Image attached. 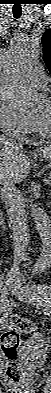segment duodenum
Wrapping results in <instances>:
<instances>
[{
    "instance_id": "410a0bca",
    "label": "duodenum",
    "mask_w": 51,
    "mask_h": 393,
    "mask_svg": "<svg viewBox=\"0 0 51 393\" xmlns=\"http://www.w3.org/2000/svg\"><path fill=\"white\" fill-rule=\"evenodd\" d=\"M1 219H2V222H3V227L6 228L5 216L1 215Z\"/></svg>"
}]
</instances>
